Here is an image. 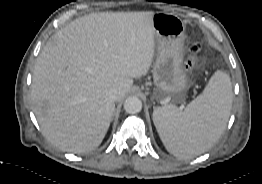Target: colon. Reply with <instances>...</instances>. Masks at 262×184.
<instances>
[{
    "label": "colon",
    "instance_id": "colon-1",
    "mask_svg": "<svg viewBox=\"0 0 262 184\" xmlns=\"http://www.w3.org/2000/svg\"><path fill=\"white\" fill-rule=\"evenodd\" d=\"M202 50V46L199 42H193L190 47V55L186 61V68L193 72L199 69L201 60L199 57V53Z\"/></svg>",
    "mask_w": 262,
    "mask_h": 184
}]
</instances>
